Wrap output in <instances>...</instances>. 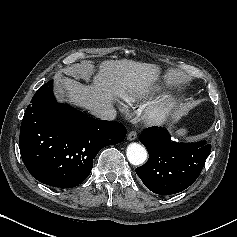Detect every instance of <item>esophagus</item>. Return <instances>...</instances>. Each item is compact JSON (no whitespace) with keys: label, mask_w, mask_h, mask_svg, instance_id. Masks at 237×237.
Segmentation results:
<instances>
[{"label":"esophagus","mask_w":237,"mask_h":237,"mask_svg":"<svg viewBox=\"0 0 237 237\" xmlns=\"http://www.w3.org/2000/svg\"><path fill=\"white\" fill-rule=\"evenodd\" d=\"M137 138V133H136V131H130L129 133H128V135H127V139L129 140V141H133V140H135Z\"/></svg>","instance_id":"34e87169"}]
</instances>
